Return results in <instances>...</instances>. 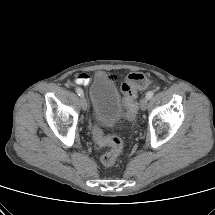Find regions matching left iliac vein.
Masks as SVG:
<instances>
[{"instance_id": "4c4485c4", "label": "left iliac vein", "mask_w": 215, "mask_h": 215, "mask_svg": "<svg viewBox=\"0 0 215 215\" xmlns=\"http://www.w3.org/2000/svg\"><path fill=\"white\" fill-rule=\"evenodd\" d=\"M147 106H148V98L147 97H143L140 100V108H141V110H146Z\"/></svg>"}]
</instances>
